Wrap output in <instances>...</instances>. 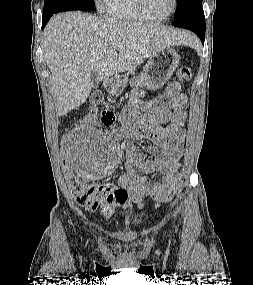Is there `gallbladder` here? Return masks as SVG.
I'll use <instances>...</instances> for the list:
<instances>
[{
  "mask_svg": "<svg viewBox=\"0 0 253 285\" xmlns=\"http://www.w3.org/2000/svg\"><path fill=\"white\" fill-rule=\"evenodd\" d=\"M91 81L93 84V88H95L98 84V79H97V75H96L95 71H92V73H91Z\"/></svg>",
  "mask_w": 253,
  "mask_h": 285,
  "instance_id": "gallbladder-1",
  "label": "gallbladder"
}]
</instances>
